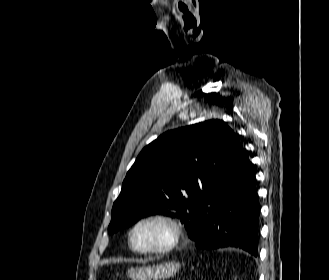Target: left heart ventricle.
Returning <instances> with one entry per match:
<instances>
[{"instance_id":"1","label":"left heart ventricle","mask_w":329,"mask_h":280,"mask_svg":"<svg viewBox=\"0 0 329 280\" xmlns=\"http://www.w3.org/2000/svg\"><path fill=\"white\" fill-rule=\"evenodd\" d=\"M170 238L168 227L160 222H148L139 226L133 234V244L138 249L157 248Z\"/></svg>"}]
</instances>
